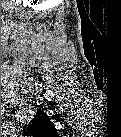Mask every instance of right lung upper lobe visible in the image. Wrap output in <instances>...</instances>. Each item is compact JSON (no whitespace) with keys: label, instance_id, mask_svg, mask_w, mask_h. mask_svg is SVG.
Segmentation results:
<instances>
[{"label":"right lung upper lobe","instance_id":"1","mask_svg":"<svg viewBox=\"0 0 121 137\" xmlns=\"http://www.w3.org/2000/svg\"><path fill=\"white\" fill-rule=\"evenodd\" d=\"M27 130L33 135H44L48 132H55L52 122L40 109L37 110V114L32 120V124H29Z\"/></svg>","mask_w":121,"mask_h":137}]
</instances>
